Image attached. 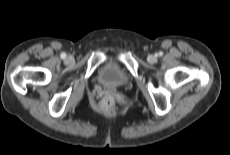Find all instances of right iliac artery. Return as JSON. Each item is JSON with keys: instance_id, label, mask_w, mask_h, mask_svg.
Listing matches in <instances>:
<instances>
[{"instance_id": "82829eb1", "label": "right iliac artery", "mask_w": 230, "mask_h": 155, "mask_svg": "<svg viewBox=\"0 0 230 155\" xmlns=\"http://www.w3.org/2000/svg\"><path fill=\"white\" fill-rule=\"evenodd\" d=\"M61 58H62V59H65V58H66V53H64V52L61 53Z\"/></svg>"}]
</instances>
